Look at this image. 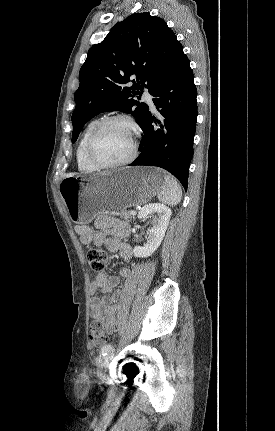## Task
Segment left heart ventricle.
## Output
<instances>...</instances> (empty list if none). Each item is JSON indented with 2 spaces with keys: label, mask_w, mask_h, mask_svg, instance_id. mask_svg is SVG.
<instances>
[{
  "label": "left heart ventricle",
  "mask_w": 275,
  "mask_h": 431,
  "mask_svg": "<svg viewBox=\"0 0 275 431\" xmlns=\"http://www.w3.org/2000/svg\"><path fill=\"white\" fill-rule=\"evenodd\" d=\"M132 141L130 127L123 122H113L97 137L93 147L94 157L105 163L120 162L129 156Z\"/></svg>",
  "instance_id": "left-heart-ventricle-1"
}]
</instances>
